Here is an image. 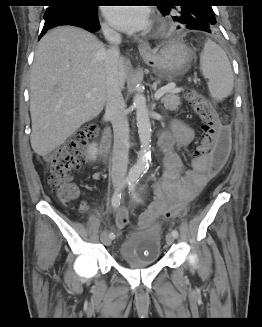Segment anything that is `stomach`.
I'll return each mask as SVG.
<instances>
[{"instance_id":"stomach-1","label":"stomach","mask_w":262,"mask_h":327,"mask_svg":"<svg viewBox=\"0 0 262 327\" xmlns=\"http://www.w3.org/2000/svg\"><path fill=\"white\" fill-rule=\"evenodd\" d=\"M153 66L158 76H177L187 71L192 59L191 50L183 43L170 42L151 55H142Z\"/></svg>"}]
</instances>
